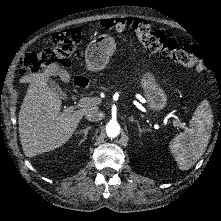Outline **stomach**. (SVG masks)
I'll return each instance as SVG.
<instances>
[{"label":"stomach","instance_id":"obj_1","mask_svg":"<svg viewBox=\"0 0 221 221\" xmlns=\"http://www.w3.org/2000/svg\"><path fill=\"white\" fill-rule=\"evenodd\" d=\"M115 47L114 38L110 35L102 34L94 38L85 50V61L89 70L99 71L105 68ZM140 81L148 108L152 111L163 110L167 105V95L159 86L155 76L146 72Z\"/></svg>","mask_w":221,"mask_h":221}]
</instances>
